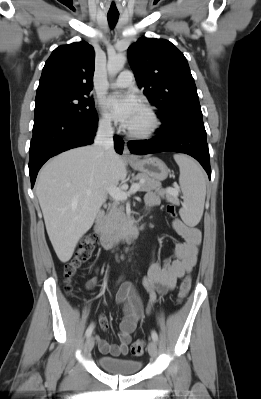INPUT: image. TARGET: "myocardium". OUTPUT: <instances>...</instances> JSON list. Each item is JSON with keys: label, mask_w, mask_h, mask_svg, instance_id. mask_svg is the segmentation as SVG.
<instances>
[{"label": "myocardium", "mask_w": 261, "mask_h": 399, "mask_svg": "<svg viewBox=\"0 0 261 399\" xmlns=\"http://www.w3.org/2000/svg\"><path fill=\"white\" fill-rule=\"evenodd\" d=\"M143 109L146 112V115L149 119V125L140 131H134L131 129H127V134L129 137L135 139H147L152 137L154 134L158 132L161 127V119L156 111L148 104L143 105Z\"/></svg>", "instance_id": "f54148a6"}]
</instances>
